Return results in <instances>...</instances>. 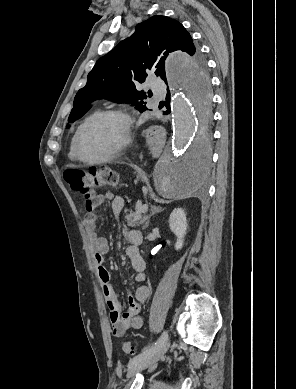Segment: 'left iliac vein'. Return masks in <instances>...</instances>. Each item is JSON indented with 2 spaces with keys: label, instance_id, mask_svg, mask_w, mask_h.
<instances>
[{
  "label": "left iliac vein",
  "instance_id": "obj_1",
  "mask_svg": "<svg viewBox=\"0 0 296 389\" xmlns=\"http://www.w3.org/2000/svg\"><path fill=\"white\" fill-rule=\"evenodd\" d=\"M170 346V341L167 338L158 348L157 350L150 355L149 357L142 359L137 364L129 367L127 377L131 378L134 377L136 374H138L140 371L154 365L157 363L167 352L168 348Z\"/></svg>",
  "mask_w": 296,
  "mask_h": 389
}]
</instances>
